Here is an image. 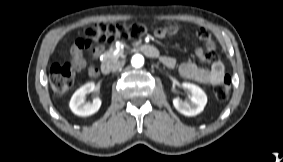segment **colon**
Wrapping results in <instances>:
<instances>
[{
	"instance_id": "1",
	"label": "colon",
	"mask_w": 283,
	"mask_h": 162,
	"mask_svg": "<svg viewBox=\"0 0 283 162\" xmlns=\"http://www.w3.org/2000/svg\"><path fill=\"white\" fill-rule=\"evenodd\" d=\"M147 32L143 24H105L97 23L88 26L84 35L87 41L107 42L117 38L130 39L138 38ZM49 81L54 95L66 93L73 85L74 70L72 65L67 63H56L51 66ZM231 91V80L228 76L216 86L215 95L219 100H225Z\"/></svg>"
}]
</instances>
